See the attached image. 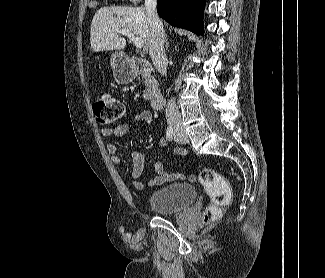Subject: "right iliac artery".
Segmentation results:
<instances>
[{
    "instance_id": "obj_1",
    "label": "right iliac artery",
    "mask_w": 325,
    "mask_h": 278,
    "mask_svg": "<svg viewBox=\"0 0 325 278\" xmlns=\"http://www.w3.org/2000/svg\"><path fill=\"white\" fill-rule=\"evenodd\" d=\"M174 131L172 127H168L166 131V138L167 140L171 141L173 137Z\"/></svg>"
}]
</instances>
